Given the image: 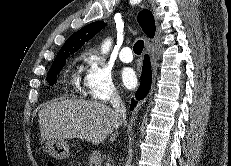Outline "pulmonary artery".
Returning a JSON list of instances; mask_svg holds the SVG:
<instances>
[{
	"label": "pulmonary artery",
	"instance_id": "obj_1",
	"mask_svg": "<svg viewBox=\"0 0 231 166\" xmlns=\"http://www.w3.org/2000/svg\"><path fill=\"white\" fill-rule=\"evenodd\" d=\"M119 58L124 63H129L133 60L132 50L129 46L123 47L119 52Z\"/></svg>",
	"mask_w": 231,
	"mask_h": 166
}]
</instances>
